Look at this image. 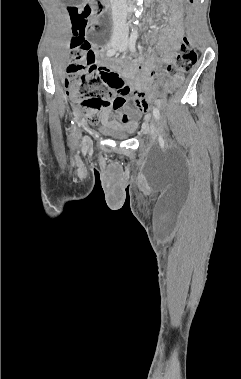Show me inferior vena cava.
I'll return each mask as SVG.
<instances>
[{
	"mask_svg": "<svg viewBox=\"0 0 241 379\" xmlns=\"http://www.w3.org/2000/svg\"><path fill=\"white\" fill-rule=\"evenodd\" d=\"M113 18V38H128V26L126 23L128 5L127 0H110Z\"/></svg>",
	"mask_w": 241,
	"mask_h": 379,
	"instance_id": "602c4592",
	"label": "inferior vena cava"
}]
</instances>
